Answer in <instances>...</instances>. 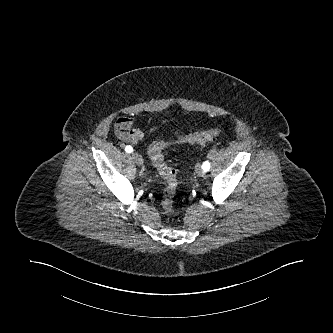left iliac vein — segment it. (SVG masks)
Masks as SVG:
<instances>
[{"label":"left iliac vein","mask_w":333,"mask_h":333,"mask_svg":"<svg viewBox=\"0 0 333 333\" xmlns=\"http://www.w3.org/2000/svg\"><path fill=\"white\" fill-rule=\"evenodd\" d=\"M196 174L199 177H203L205 175V172L202 170V167L200 165L196 166Z\"/></svg>","instance_id":"obj_1"}]
</instances>
